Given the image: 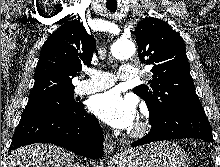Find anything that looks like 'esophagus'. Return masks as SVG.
Returning a JSON list of instances; mask_svg holds the SVG:
<instances>
[{"instance_id":"1","label":"esophagus","mask_w":220,"mask_h":167,"mask_svg":"<svg viewBox=\"0 0 220 167\" xmlns=\"http://www.w3.org/2000/svg\"><path fill=\"white\" fill-rule=\"evenodd\" d=\"M104 152L108 156H115V144L109 134H106L104 139Z\"/></svg>"}]
</instances>
